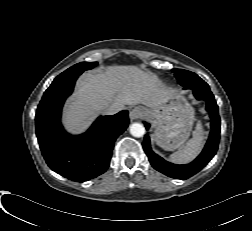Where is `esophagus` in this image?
Wrapping results in <instances>:
<instances>
[{"label": "esophagus", "mask_w": 252, "mask_h": 231, "mask_svg": "<svg viewBox=\"0 0 252 231\" xmlns=\"http://www.w3.org/2000/svg\"><path fill=\"white\" fill-rule=\"evenodd\" d=\"M143 114V109L141 107H135L130 111V119L137 120L139 119Z\"/></svg>", "instance_id": "esophagus-1"}]
</instances>
